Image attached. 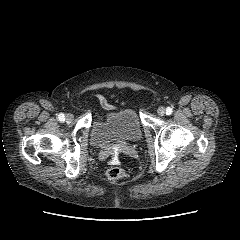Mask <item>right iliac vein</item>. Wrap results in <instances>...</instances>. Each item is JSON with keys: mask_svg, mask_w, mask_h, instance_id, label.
<instances>
[{"mask_svg": "<svg viewBox=\"0 0 240 240\" xmlns=\"http://www.w3.org/2000/svg\"><path fill=\"white\" fill-rule=\"evenodd\" d=\"M74 116L71 113L66 114L65 120L66 122H71L73 120Z\"/></svg>", "mask_w": 240, "mask_h": 240, "instance_id": "obj_1", "label": "right iliac vein"}]
</instances>
